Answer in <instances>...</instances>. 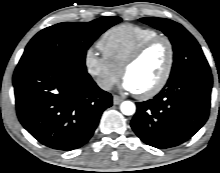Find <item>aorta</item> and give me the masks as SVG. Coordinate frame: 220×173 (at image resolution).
<instances>
[{
    "mask_svg": "<svg viewBox=\"0 0 220 173\" xmlns=\"http://www.w3.org/2000/svg\"><path fill=\"white\" fill-rule=\"evenodd\" d=\"M120 110L124 115H133L136 111L135 104L131 101H124L120 106Z\"/></svg>",
    "mask_w": 220,
    "mask_h": 173,
    "instance_id": "aorta-1",
    "label": "aorta"
}]
</instances>
